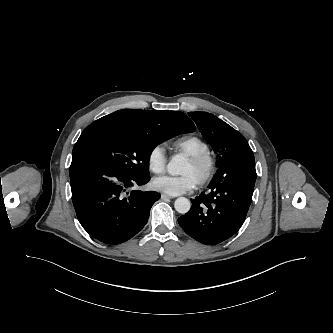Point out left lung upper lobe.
I'll return each mask as SVG.
<instances>
[{
  "instance_id": "5c2ea615",
  "label": "left lung upper lobe",
  "mask_w": 333,
  "mask_h": 333,
  "mask_svg": "<svg viewBox=\"0 0 333 333\" xmlns=\"http://www.w3.org/2000/svg\"><path fill=\"white\" fill-rule=\"evenodd\" d=\"M189 116L218 154L219 167L237 152L250 148L247 140L238 131L215 115L207 112H190Z\"/></svg>"
}]
</instances>
